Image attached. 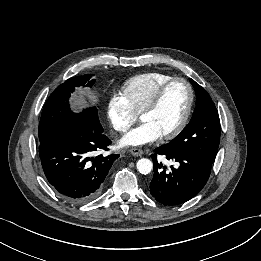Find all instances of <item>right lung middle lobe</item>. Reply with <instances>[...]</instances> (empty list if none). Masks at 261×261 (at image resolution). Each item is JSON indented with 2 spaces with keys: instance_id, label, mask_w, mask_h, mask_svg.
I'll return each mask as SVG.
<instances>
[{
  "instance_id": "right-lung-middle-lobe-1",
  "label": "right lung middle lobe",
  "mask_w": 261,
  "mask_h": 261,
  "mask_svg": "<svg viewBox=\"0 0 261 261\" xmlns=\"http://www.w3.org/2000/svg\"><path fill=\"white\" fill-rule=\"evenodd\" d=\"M92 74L83 77H72L59 85L47 99L40 123L39 142L45 144L60 135L80 126L102 129L98 119L96 107L84 109L81 113H74L70 109L69 97L76 86H92L95 80L89 81Z\"/></svg>"
}]
</instances>
